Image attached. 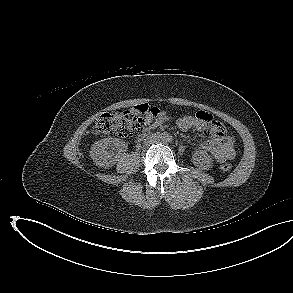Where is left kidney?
Returning a JSON list of instances; mask_svg holds the SVG:
<instances>
[{
  "instance_id": "left-kidney-1",
  "label": "left kidney",
  "mask_w": 293,
  "mask_h": 293,
  "mask_svg": "<svg viewBox=\"0 0 293 293\" xmlns=\"http://www.w3.org/2000/svg\"><path fill=\"white\" fill-rule=\"evenodd\" d=\"M193 164L202 170H208L213 166V160L205 151H196L192 156Z\"/></svg>"
}]
</instances>
